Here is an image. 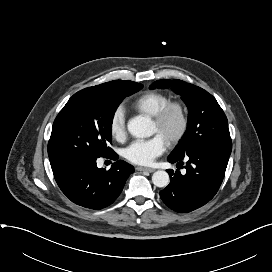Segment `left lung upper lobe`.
Returning a JSON list of instances; mask_svg holds the SVG:
<instances>
[{"mask_svg":"<svg viewBox=\"0 0 272 272\" xmlns=\"http://www.w3.org/2000/svg\"><path fill=\"white\" fill-rule=\"evenodd\" d=\"M171 88L188 107L187 130L171 156L180 157L208 144L231 143L228 120L216 99L182 80H158L150 89Z\"/></svg>","mask_w":272,"mask_h":272,"instance_id":"5c2ea615","label":"left lung upper lobe"}]
</instances>
